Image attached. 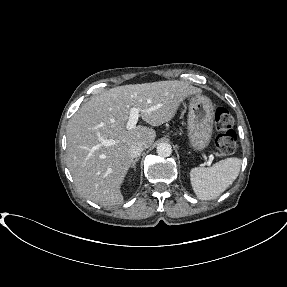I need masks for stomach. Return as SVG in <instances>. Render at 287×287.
<instances>
[{
    "label": "stomach",
    "mask_w": 287,
    "mask_h": 287,
    "mask_svg": "<svg viewBox=\"0 0 287 287\" xmlns=\"http://www.w3.org/2000/svg\"><path fill=\"white\" fill-rule=\"evenodd\" d=\"M187 123L190 146L196 151L204 150L210 143L214 123V106L208 97L195 94L190 98Z\"/></svg>",
    "instance_id": "1"
}]
</instances>
